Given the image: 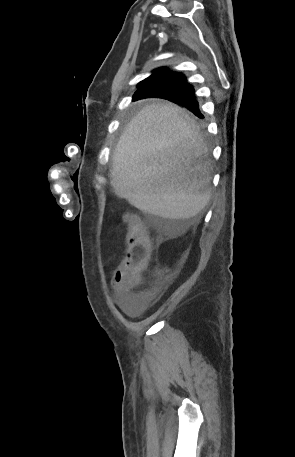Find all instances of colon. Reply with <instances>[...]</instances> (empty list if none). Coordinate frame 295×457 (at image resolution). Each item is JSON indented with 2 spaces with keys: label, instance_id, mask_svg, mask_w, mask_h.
Segmentation results:
<instances>
[{
  "label": "colon",
  "instance_id": "1",
  "mask_svg": "<svg viewBox=\"0 0 295 457\" xmlns=\"http://www.w3.org/2000/svg\"><path fill=\"white\" fill-rule=\"evenodd\" d=\"M127 223L128 247L117 274L124 279V289L132 290L138 284L140 274L148 263L151 244L142 222L137 217H127Z\"/></svg>",
  "mask_w": 295,
  "mask_h": 457
}]
</instances>
